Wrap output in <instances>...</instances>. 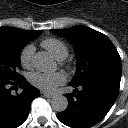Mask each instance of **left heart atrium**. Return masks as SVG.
<instances>
[{
  "instance_id": "left-heart-atrium-1",
  "label": "left heart atrium",
  "mask_w": 128,
  "mask_h": 128,
  "mask_svg": "<svg viewBox=\"0 0 128 128\" xmlns=\"http://www.w3.org/2000/svg\"><path fill=\"white\" fill-rule=\"evenodd\" d=\"M30 82L43 91L52 92L57 86L65 83V76L59 72L53 74L36 72L30 76Z\"/></svg>"
}]
</instances>
